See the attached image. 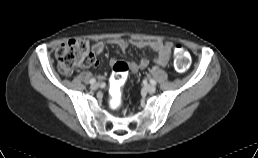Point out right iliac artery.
Segmentation results:
<instances>
[{"label": "right iliac artery", "mask_w": 258, "mask_h": 158, "mask_svg": "<svg viewBox=\"0 0 258 158\" xmlns=\"http://www.w3.org/2000/svg\"><path fill=\"white\" fill-rule=\"evenodd\" d=\"M96 82V80L94 79V78H92L91 80H90V84H93V83H95Z\"/></svg>", "instance_id": "1"}]
</instances>
